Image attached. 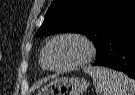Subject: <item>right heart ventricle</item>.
Returning a JSON list of instances; mask_svg holds the SVG:
<instances>
[{
    "label": "right heart ventricle",
    "instance_id": "e07e8e85",
    "mask_svg": "<svg viewBox=\"0 0 135 95\" xmlns=\"http://www.w3.org/2000/svg\"><path fill=\"white\" fill-rule=\"evenodd\" d=\"M45 48H43L42 52H41V55H40V65L42 66V68H45L44 67V63H43V56H44V51H45Z\"/></svg>",
    "mask_w": 135,
    "mask_h": 95
}]
</instances>
